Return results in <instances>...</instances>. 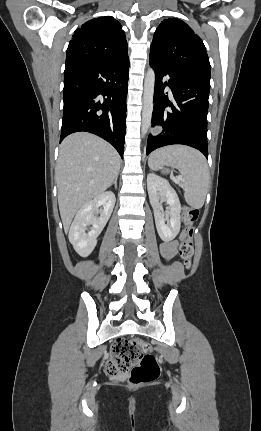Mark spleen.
Returning a JSON list of instances; mask_svg holds the SVG:
<instances>
[{
  "label": "spleen",
  "instance_id": "obj_1",
  "mask_svg": "<svg viewBox=\"0 0 261 431\" xmlns=\"http://www.w3.org/2000/svg\"><path fill=\"white\" fill-rule=\"evenodd\" d=\"M148 164L153 170L165 165L178 169L187 204L196 209L203 206L209 184V170L205 157L199 151L179 145L164 147L150 155Z\"/></svg>",
  "mask_w": 261,
  "mask_h": 431
}]
</instances>
